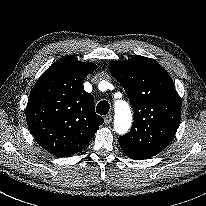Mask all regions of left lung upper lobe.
I'll return each instance as SVG.
<instances>
[{
	"instance_id": "left-lung-upper-lobe-1",
	"label": "left lung upper lobe",
	"mask_w": 206,
	"mask_h": 206,
	"mask_svg": "<svg viewBox=\"0 0 206 206\" xmlns=\"http://www.w3.org/2000/svg\"><path fill=\"white\" fill-rule=\"evenodd\" d=\"M134 108L131 131L119 144L155 156L171 142L181 118V100L167 71L155 60L136 56L109 65Z\"/></svg>"
}]
</instances>
